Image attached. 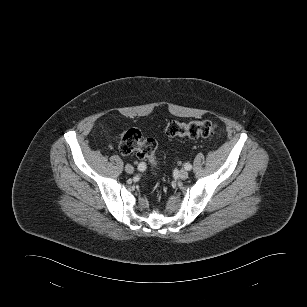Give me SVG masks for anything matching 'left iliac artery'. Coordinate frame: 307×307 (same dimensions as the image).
Returning a JSON list of instances; mask_svg holds the SVG:
<instances>
[{"instance_id": "left-iliac-artery-1", "label": "left iliac artery", "mask_w": 307, "mask_h": 307, "mask_svg": "<svg viewBox=\"0 0 307 307\" xmlns=\"http://www.w3.org/2000/svg\"><path fill=\"white\" fill-rule=\"evenodd\" d=\"M184 168L186 170H191L192 169V165L190 163H185Z\"/></svg>"}]
</instances>
